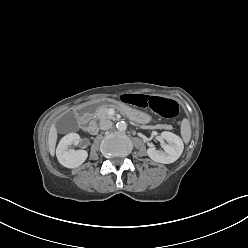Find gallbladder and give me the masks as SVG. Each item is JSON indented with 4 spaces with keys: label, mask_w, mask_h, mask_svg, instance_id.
Wrapping results in <instances>:
<instances>
[{
    "label": "gallbladder",
    "mask_w": 248,
    "mask_h": 248,
    "mask_svg": "<svg viewBox=\"0 0 248 248\" xmlns=\"http://www.w3.org/2000/svg\"><path fill=\"white\" fill-rule=\"evenodd\" d=\"M70 116V115H68ZM59 130H70V129H75L77 127V122L76 119L73 115L70 116V119L68 121H62L59 123Z\"/></svg>",
    "instance_id": "1"
}]
</instances>
